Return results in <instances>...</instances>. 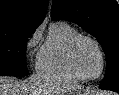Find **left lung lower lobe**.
<instances>
[{"instance_id": "left-lung-lower-lobe-1", "label": "left lung lower lobe", "mask_w": 119, "mask_h": 95, "mask_svg": "<svg viewBox=\"0 0 119 95\" xmlns=\"http://www.w3.org/2000/svg\"><path fill=\"white\" fill-rule=\"evenodd\" d=\"M108 90V89H107ZM113 91L118 92L119 93V88H114Z\"/></svg>"}]
</instances>
